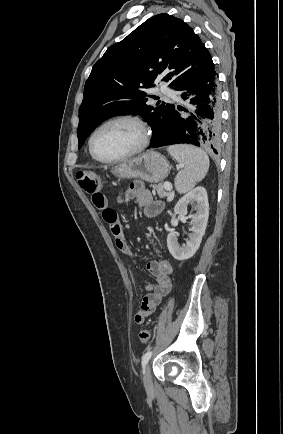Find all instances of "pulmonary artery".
I'll return each instance as SVG.
<instances>
[{"label":"pulmonary artery","mask_w":283,"mask_h":434,"mask_svg":"<svg viewBox=\"0 0 283 434\" xmlns=\"http://www.w3.org/2000/svg\"><path fill=\"white\" fill-rule=\"evenodd\" d=\"M158 92L161 93V94H164V95H166V96H168L170 98L179 99V94L177 92H175V91L167 88L166 86H163V85L160 86L158 88Z\"/></svg>","instance_id":"1"}]
</instances>
